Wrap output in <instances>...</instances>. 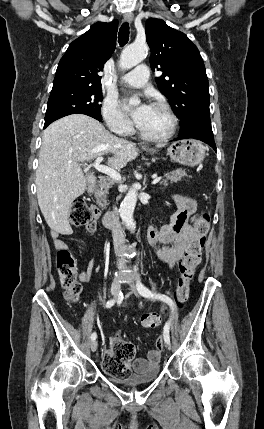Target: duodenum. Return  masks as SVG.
Wrapping results in <instances>:
<instances>
[{"mask_svg":"<svg viewBox=\"0 0 264 429\" xmlns=\"http://www.w3.org/2000/svg\"><path fill=\"white\" fill-rule=\"evenodd\" d=\"M96 178L94 176H90L88 178V191L91 192L93 186L95 184ZM117 214L114 211H109L102 217V223L105 227H112L116 221L114 220Z\"/></svg>","mask_w":264,"mask_h":429,"instance_id":"obj_1","label":"duodenum"}]
</instances>
